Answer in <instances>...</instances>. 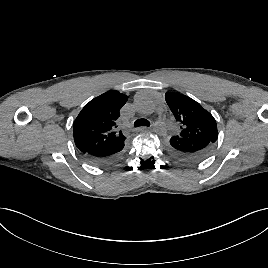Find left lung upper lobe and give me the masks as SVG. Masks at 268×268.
<instances>
[{"label":"left lung upper lobe","mask_w":268,"mask_h":268,"mask_svg":"<svg viewBox=\"0 0 268 268\" xmlns=\"http://www.w3.org/2000/svg\"><path fill=\"white\" fill-rule=\"evenodd\" d=\"M166 102L180 125L175 138H201L215 143L218 138L214 117L193 99L175 92L165 94Z\"/></svg>","instance_id":"5c2ea615"}]
</instances>
